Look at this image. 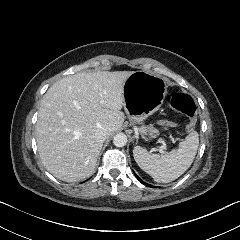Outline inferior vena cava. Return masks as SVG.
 <instances>
[{"instance_id": "obj_1", "label": "inferior vena cava", "mask_w": 240, "mask_h": 240, "mask_svg": "<svg viewBox=\"0 0 240 240\" xmlns=\"http://www.w3.org/2000/svg\"><path fill=\"white\" fill-rule=\"evenodd\" d=\"M108 136L109 132L105 128H100L96 131V138L102 142H104Z\"/></svg>"}]
</instances>
